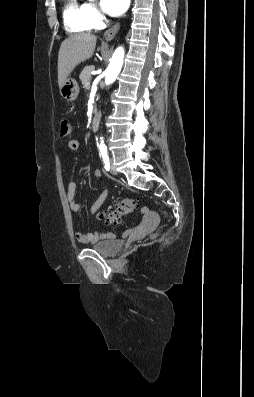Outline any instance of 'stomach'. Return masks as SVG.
<instances>
[{"label": "stomach", "mask_w": 254, "mask_h": 397, "mask_svg": "<svg viewBox=\"0 0 254 397\" xmlns=\"http://www.w3.org/2000/svg\"><path fill=\"white\" fill-rule=\"evenodd\" d=\"M60 94L66 101L72 102L76 100L79 94V85L74 78H67L60 87Z\"/></svg>", "instance_id": "0dacf381"}]
</instances>
